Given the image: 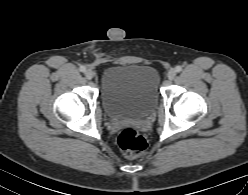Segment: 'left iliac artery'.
Instances as JSON below:
<instances>
[{"label":"left iliac artery","instance_id":"obj_1","mask_svg":"<svg viewBox=\"0 0 248 195\" xmlns=\"http://www.w3.org/2000/svg\"><path fill=\"white\" fill-rule=\"evenodd\" d=\"M175 70H176V72H180V71L182 70V67H181V66H177V67L175 68Z\"/></svg>","mask_w":248,"mask_h":195}]
</instances>
